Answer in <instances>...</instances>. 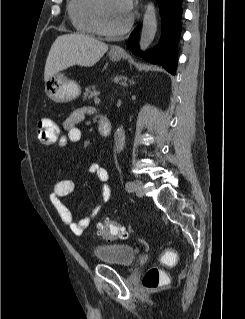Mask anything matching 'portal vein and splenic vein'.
Masks as SVG:
<instances>
[{
  "mask_svg": "<svg viewBox=\"0 0 245 319\" xmlns=\"http://www.w3.org/2000/svg\"><path fill=\"white\" fill-rule=\"evenodd\" d=\"M94 101H95V103H99V102H100V99H99L98 97H96V98L94 99Z\"/></svg>",
  "mask_w": 245,
  "mask_h": 319,
  "instance_id": "obj_1",
  "label": "portal vein and splenic vein"
}]
</instances>
